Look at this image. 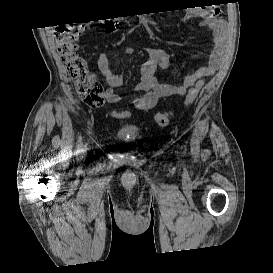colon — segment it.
<instances>
[{"instance_id":"colon-1","label":"colon","mask_w":273,"mask_h":273,"mask_svg":"<svg viewBox=\"0 0 273 273\" xmlns=\"http://www.w3.org/2000/svg\"><path fill=\"white\" fill-rule=\"evenodd\" d=\"M86 24L80 22L58 27L55 31V40L78 97L85 105L94 108L102 104L105 89L102 82L89 70L86 58L78 51L77 39ZM200 87L201 83H198L189 91L184 101L186 106L196 98ZM116 114L121 115V113ZM171 119L172 115L169 112H159L155 117L159 126H167Z\"/></svg>"}]
</instances>
